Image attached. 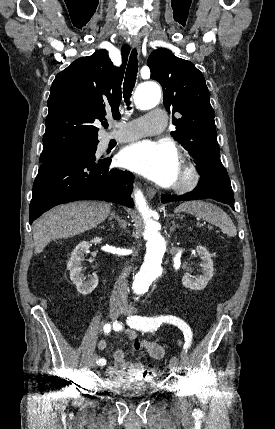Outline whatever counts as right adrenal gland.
<instances>
[{
    "label": "right adrenal gland",
    "instance_id": "2a0ac1e0",
    "mask_svg": "<svg viewBox=\"0 0 275 429\" xmlns=\"http://www.w3.org/2000/svg\"><path fill=\"white\" fill-rule=\"evenodd\" d=\"M113 219L118 221L120 228H122L123 230L126 229L127 222L123 220L118 214H116L115 211H112L108 220L112 221ZM111 227H113V224L111 225Z\"/></svg>",
    "mask_w": 275,
    "mask_h": 429
}]
</instances>
